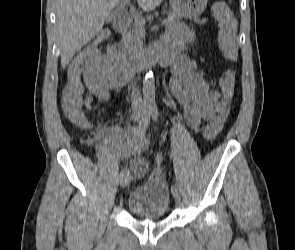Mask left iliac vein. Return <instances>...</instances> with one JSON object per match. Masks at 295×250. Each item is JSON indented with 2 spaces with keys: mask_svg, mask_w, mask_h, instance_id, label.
I'll return each mask as SVG.
<instances>
[{
  "mask_svg": "<svg viewBox=\"0 0 295 250\" xmlns=\"http://www.w3.org/2000/svg\"><path fill=\"white\" fill-rule=\"evenodd\" d=\"M172 195H173L175 201H176L177 203H179V202H180V197H179V194H178V190L173 191V192H172Z\"/></svg>",
  "mask_w": 295,
  "mask_h": 250,
  "instance_id": "left-iliac-vein-1",
  "label": "left iliac vein"
}]
</instances>
